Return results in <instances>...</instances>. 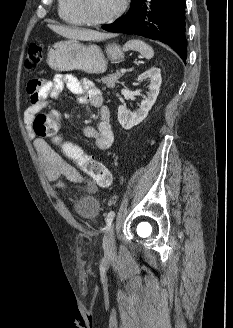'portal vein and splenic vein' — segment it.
I'll list each match as a JSON object with an SVG mask.
<instances>
[{"instance_id": "obj_1", "label": "portal vein and splenic vein", "mask_w": 233, "mask_h": 328, "mask_svg": "<svg viewBox=\"0 0 233 328\" xmlns=\"http://www.w3.org/2000/svg\"><path fill=\"white\" fill-rule=\"evenodd\" d=\"M120 72L123 74V73H126V69H121Z\"/></svg>"}]
</instances>
